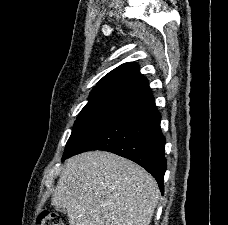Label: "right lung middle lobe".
<instances>
[{"instance_id":"1","label":"right lung middle lobe","mask_w":228,"mask_h":225,"mask_svg":"<svg viewBox=\"0 0 228 225\" xmlns=\"http://www.w3.org/2000/svg\"><path fill=\"white\" fill-rule=\"evenodd\" d=\"M142 90L124 84L94 87L88 103L78 115L71 136L66 144L63 158L97 125L111 116ZM62 158V159H63Z\"/></svg>"}]
</instances>
